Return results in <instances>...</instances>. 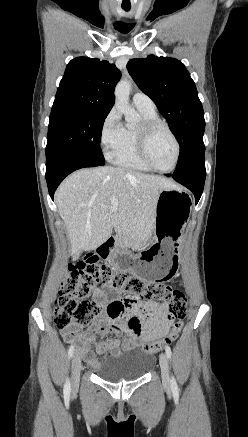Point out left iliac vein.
<instances>
[{
  "label": "left iliac vein",
  "instance_id": "obj_1",
  "mask_svg": "<svg viewBox=\"0 0 248 437\" xmlns=\"http://www.w3.org/2000/svg\"><path fill=\"white\" fill-rule=\"evenodd\" d=\"M159 363L161 368L162 382L165 386L170 384L168 357L165 353H161L159 357Z\"/></svg>",
  "mask_w": 248,
  "mask_h": 437
}]
</instances>
